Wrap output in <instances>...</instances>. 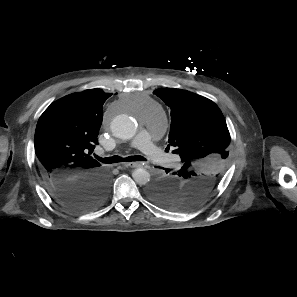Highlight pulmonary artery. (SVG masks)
Returning a JSON list of instances; mask_svg holds the SVG:
<instances>
[{
  "label": "pulmonary artery",
  "mask_w": 297,
  "mask_h": 297,
  "mask_svg": "<svg viewBox=\"0 0 297 297\" xmlns=\"http://www.w3.org/2000/svg\"><path fill=\"white\" fill-rule=\"evenodd\" d=\"M164 128L163 124L148 119L144 127L136 136L132 146L139 149L154 163L163 166H170L176 161L175 157L164 154L160 148L153 142L154 134L160 132Z\"/></svg>",
  "instance_id": "1"
}]
</instances>
